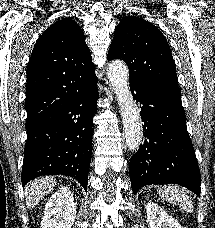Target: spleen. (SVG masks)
<instances>
[{
	"label": "spleen",
	"mask_w": 215,
	"mask_h": 228,
	"mask_svg": "<svg viewBox=\"0 0 215 228\" xmlns=\"http://www.w3.org/2000/svg\"><path fill=\"white\" fill-rule=\"evenodd\" d=\"M158 194L161 200L171 202L175 206H180L181 210H186V212H193L192 202L186 196L183 188H178V186H163L162 190H158Z\"/></svg>",
	"instance_id": "obj_1"
}]
</instances>
